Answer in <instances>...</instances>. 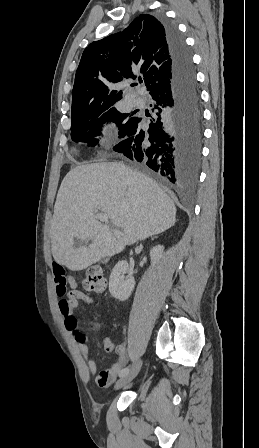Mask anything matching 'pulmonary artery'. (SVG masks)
<instances>
[{
	"instance_id": "obj_1",
	"label": "pulmonary artery",
	"mask_w": 259,
	"mask_h": 448,
	"mask_svg": "<svg viewBox=\"0 0 259 448\" xmlns=\"http://www.w3.org/2000/svg\"><path fill=\"white\" fill-rule=\"evenodd\" d=\"M136 93H137V94H140L139 92H136ZM134 103L137 104V105H140V104L143 103V99L140 98L139 96H137V97L135 98V100H134Z\"/></svg>"
}]
</instances>
